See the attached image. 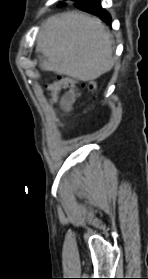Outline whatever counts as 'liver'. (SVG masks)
<instances>
[{
	"label": "liver",
	"instance_id": "liver-1",
	"mask_svg": "<svg viewBox=\"0 0 148 279\" xmlns=\"http://www.w3.org/2000/svg\"><path fill=\"white\" fill-rule=\"evenodd\" d=\"M43 69L80 81H92L114 65L110 34L97 18L78 12L51 16L37 37Z\"/></svg>",
	"mask_w": 148,
	"mask_h": 279
}]
</instances>
